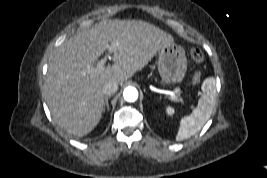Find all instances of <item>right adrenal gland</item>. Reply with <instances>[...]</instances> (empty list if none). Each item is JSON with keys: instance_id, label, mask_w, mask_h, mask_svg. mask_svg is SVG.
I'll return each mask as SVG.
<instances>
[{"instance_id": "1", "label": "right adrenal gland", "mask_w": 267, "mask_h": 178, "mask_svg": "<svg viewBox=\"0 0 267 178\" xmlns=\"http://www.w3.org/2000/svg\"><path fill=\"white\" fill-rule=\"evenodd\" d=\"M109 98L110 96H106L104 100V105H103V113L107 110L109 111Z\"/></svg>"}]
</instances>
